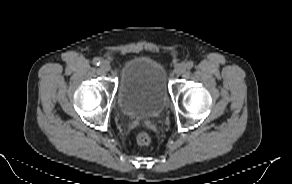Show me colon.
I'll list each match as a JSON object with an SVG mask.
<instances>
[{"instance_id":"1","label":"colon","mask_w":292,"mask_h":184,"mask_svg":"<svg viewBox=\"0 0 292 184\" xmlns=\"http://www.w3.org/2000/svg\"><path fill=\"white\" fill-rule=\"evenodd\" d=\"M136 141L140 146H149L152 142V137L148 132H139L136 136Z\"/></svg>"}]
</instances>
